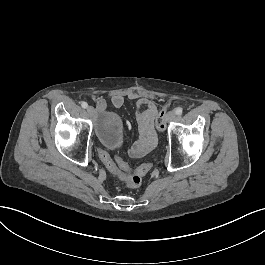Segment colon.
I'll list each match as a JSON object with an SVG mask.
<instances>
[{
	"label": "colon",
	"instance_id": "obj_1",
	"mask_svg": "<svg viewBox=\"0 0 265 265\" xmlns=\"http://www.w3.org/2000/svg\"><path fill=\"white\" fill-rule=\"evenodd\" d=\"M168 108L164 106L162 110L165 112ZM156 120L157 129L162 132L165 130L163 119L165 115L160 111ZM160 138L163 136L161 133L158 135ZM99 158L102 164L108 169L109 172L116 175L127 187L137 188L140 186L143 177L150 171L152 164L150 162L140 165L138 168L131 170L125 163V161L118 159L116 163L108 154L105 149H99ZM120 168L124 169V172L120 171Z\"/></svg>",
	"mask_w": 265,
	"mask_h": 265
}]
</instances>
